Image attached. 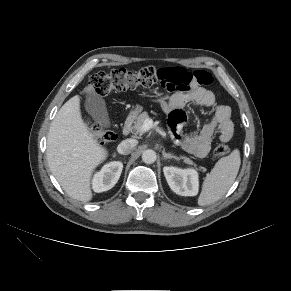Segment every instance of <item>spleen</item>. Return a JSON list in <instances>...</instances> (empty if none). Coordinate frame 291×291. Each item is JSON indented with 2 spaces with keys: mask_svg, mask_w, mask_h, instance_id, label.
Wrapping results in <instances>:
<instances>
[{
  "mask_svg": "<svg viewBox=\"0 0 291 291\" xmlns=\"http://www.w3.org/2000/svg\"><path fill=\"white\" fill-rule=\"evenodd\" d=\"M241 165L240 151L235 149L222 157L208 173L202 184L198 205H210L222 198L234 183Z\"/></svg>",
  "mask_w": 291,
  "mask_h": 291,
  "instance_id": "spleen-1",
  "label": "spleen"
}]
</instances>
